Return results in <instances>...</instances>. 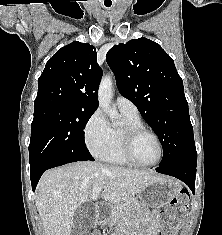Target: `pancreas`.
I'll return each mask as SVG.
<instances>
[{
	"label": "pancreas",
	"instance_id": "cf45deb5",
	"mask_svg": "<svg viewBox=\"0 0 222 235\" xmlns=\"http://www.w3.org/2000/svg\"><path fill=\"white\" fill-rule=\"evenodd\" d=\"M134 203H135V200L131 199L127 202H122V203L113 205L111 207V215L108 218L107 222L110 224H113L122 216V214H124V211H127L128 213L134 212L136 209L131 208Z\"/></svg>",
	"mask_w": 222,
	"mask_h": 235
}]
</instances>
